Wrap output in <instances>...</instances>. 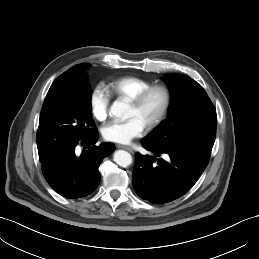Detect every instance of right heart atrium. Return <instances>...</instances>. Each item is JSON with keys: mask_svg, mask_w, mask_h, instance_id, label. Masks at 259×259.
<instances>
[{"mask_svg": "<svg viewBox=\"0 0 259 259\" xmlns=\"http://www.w3.org/2000/svg\"><path fill=\"white\" fill-rule=\"evenodd\" d=\"M111 96L107 88L97 84L90 93V108L92 115L99 121H104L109 113Z\"/></svg>", "mask_w": 259, "mask_h": 259, "instance_id": "obj_1", "label": "right heart atrium"}]
</instances>
